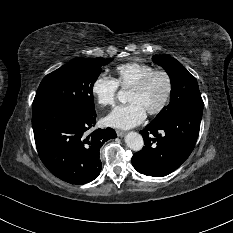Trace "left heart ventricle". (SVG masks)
Returning a JSON list of instances; mask_svg holds the SVG:
<instances>
[{"label":"left heart ventricle","instance_id":"obj_1","mask_svg":"<svg viewBox=\"0 0 233 233\" xmlns=\"http://www.w3.org/2000/svg\"><path fill=\"white\" fill-rule=\"evenodd\" d=\"M166 79L162 75H156L142 91L131 90L129 102L139 103L146 112L156 108L164 98L166 92Z\"/></svg>","mask_w":233,"mask_h":233}]
</instances>
